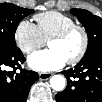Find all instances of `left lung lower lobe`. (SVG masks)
Wrapping results in <instances>:
<instances>
[{
	"label": "left lung lower lobe",
	"mask_w": 102,
	"mask_h": 102,
	"mask_svg": "<svg viewBox=\"0 0 102 102\" xmlns=\"http://www.w3.org/2000/svg\"><path fill=\"white\" fill-rule=\"evenodd\" d=\"M67 87L56 95L57 102L102 101V52L82 58L74 69L63 71Z\"/></svg>",
	"instance_id": "left-lung-lower-lobe-1"
}]
</instances>
